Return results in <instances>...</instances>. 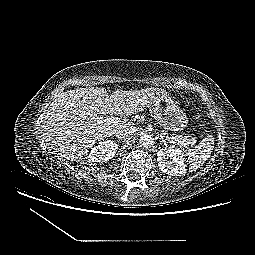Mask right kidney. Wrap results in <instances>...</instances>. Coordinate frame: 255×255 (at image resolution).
Here are the masks:
<instances>
[{
    "label": "right kidney",
    "mask_w": 255,
    "mask_h": 255,
    "mask_svg": "<svg viewBox=\"0 0 255 255\" xmlns=\"http://www.w3.org/2000/svg\"><path fill=\"white\" fill-rule=\"evenodd\" d=\"M118 145L112 141L100 142L99 145L91 148L88 160L91 162H107L114 157Z\"/></svg>",
    "instance_id": "obj_1"
}]
</instances>
